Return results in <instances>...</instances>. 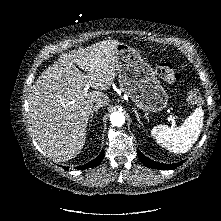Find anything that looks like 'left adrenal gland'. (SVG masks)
I'll list each match as a JSON object with an SVG mask.
<instances>
[{
	"label": "left adrenal gland",
	"mask_w": 221,
	"mask_h": 221,
	"mask_svg": "<svg viewBox=\"0 0 221 221\" xmlns=\"http://www.w3.org/2000/svg\"><path fill=\"white\" fill-rule=\"evenodd\" d=\"M133 111H134L135 114H136L137 121H138L139 123H141V125L143 126V123L140 121V118H139L138 112H137L136 110H133Z\"/></svg>",
	"instance_id": "obj_1"
}]
</instances>
